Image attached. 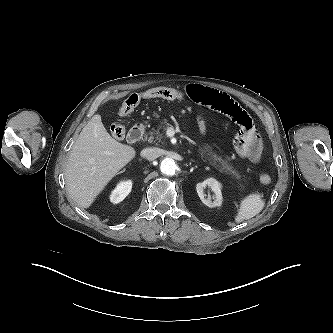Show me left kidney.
<instances>
[{
    "label": "left kidney",
    "mask_w": 333,
    "mask_h": 333,
    "mask_svg": "<svg viewBox=\"0 0 333 333\" xmlns=\"http://www.w3.org/2000/svg\"><path fill=\"white\" fill-rule=\"evenodd\" d=\"M211 188L214 195L211 197H205L204 189L206 187ZM196 190L201 201L208 207H218L222 204V193H221V184L214 178H208L201 183L196 185Z\"/></svg>",
    "instance_id": "1"
}]
</instances>
